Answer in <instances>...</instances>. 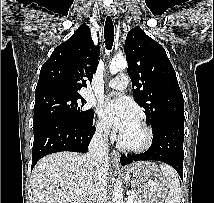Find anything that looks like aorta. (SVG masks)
<instances>
[{
	"mask_svg": "<svg viewBox=\"0 0 214 203\" xmlns=\"http://www.w3.org/2000/svg\"><path fill=\"white\" fill-rule=\"evenodd\" d=\"M127 68V60L123 56H115L110 64L109 71L112 75ZM112 203H123V190L120 180H116L113 189Z\"/></svg>",
	"mask_w": 214,
	"mask_h": 203,
	"instance_id": "aorta-1",
	"label": "aorta"
}]
</instances>
